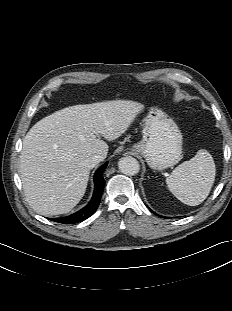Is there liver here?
Instances as JSON below:
<instances>
[{"instance_id": "obj_1", "label": "liver", "mask_w": 232, "mask_h": 311, "mask_svg": "<svg viewBox=\"0 0 232 311\" xmlns=\"http://www.w3.org/2000/svg\"><path fill=\"white\" fill-rule=\"evenodd\" d=\"M143 110L141 103L112 100L63 108L38 121L26 134L20 174L26 200L44 216L70 212L85 194L86 160L107 156L113 141Z\"/></svg>"}]
</instances>
